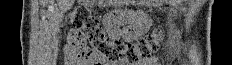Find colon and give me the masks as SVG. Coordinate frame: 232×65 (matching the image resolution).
I'll return each mask as SVG.
<instances>
[{
  "mask_svg": "<svg viewBox=\"0 0 232 65\" xmlns=\"http://www.w3.org/2000/svg\"><path fill=\"white\" fill-rule=\"evenodd\" d=\"M67 23L80 32L75 41V56L90 65H134L156 51L161 41L160 30L140 37L134 45L107 37L99 20L85 7L74 8L68 16Z\"/></svg>",
  "mask_w": 232,
  "mask_h": 65,
  "instance_id": "obj_1",
  "label": "colon"
}]
</instances>
